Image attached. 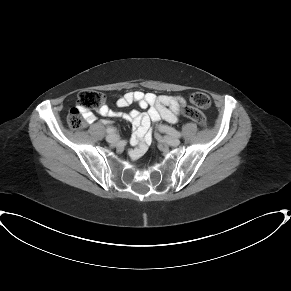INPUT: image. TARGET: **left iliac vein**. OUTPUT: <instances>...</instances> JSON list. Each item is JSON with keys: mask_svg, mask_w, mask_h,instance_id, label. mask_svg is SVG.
<instances>
[{"mask_svg": "<svg viewBox=\"0 0 291 291\" xmlns=\"http://www.w3.org/2000/svg\"><path fill=\"white\" fill-rule=\"evenodd\" d=\"M159 130H160L161 132H166V127L161 126V127L159 128ZM164 140H165V142H166L167 144H169V145H171V146H178V145L180 144V140H179L178 138H176V137L171 136V135H166V136L164 137Z\"/></svg>", "mask_w": 291, "mask_h": 291, "instance_id": "left-iliac-vein-1", "label": "left iliac vein"}]
</instances>
